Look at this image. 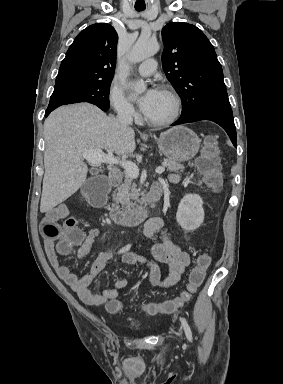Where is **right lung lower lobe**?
I'll return each instance as SVG.
<instances>
[{"mask_svg": "<svg viewBox=\"0 0 283 384\" xmlns=\"http://www.w3.org/2000/svg\"><path fill=\"white\" fill-rule=\"evenodd\" d=\"M99 107V106H98ZM103 111H107L109 107H99ZM55 108H47L45 112V117H47Z\"/></svg>", "mask_w": 283, "mask_h": 384, "instance_id": "right-lung-lower-lobe-1", "label": "right lung lower lobe"}]
</instances>
